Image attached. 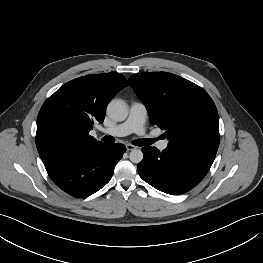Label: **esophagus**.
I'll list each match as a JSON object with an SVG mask.
<instances>
[{
    "mask_svg": "<svg viewBox=\"0 0 263 263\" xmlns=\"http://www.w3.org/2000/svg\"><path fill=\"white\" fill-rule=\"evenodd\" d=\"M137 147L136 146H134V145H132V144H126V149H127V151H132V150H134V149H136Z\"/></svg>",
    "mask_w": 263,
    "mask_h": 263,
    "instance_id": "1",
    "label": "esophagus"
}]
</instances>
